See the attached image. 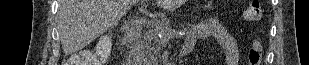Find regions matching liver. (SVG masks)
Wrapping results in <instances>:
<instances>
[{
	"instance_id": "obj_1",
	"label": "liver",
	"mask_w": 309,
	"mask_h": 65,
	"mask_svg": "<svg viewBox=\"0 0 309 65\" xmlns=\"http://www.w3.org/2000/svg\"><path fill=\"white\" fill-rule=\"evenodd\" d=\"M173 10L185 0H155ZM136 0H59L58 31L63 52L75 53L118 24Z\"/></svg>"
}]
</instances>
